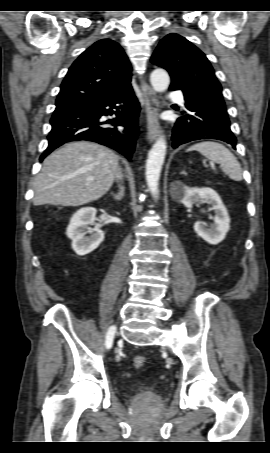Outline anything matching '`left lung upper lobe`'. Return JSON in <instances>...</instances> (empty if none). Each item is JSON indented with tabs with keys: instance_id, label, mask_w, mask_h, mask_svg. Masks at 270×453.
Masks as SVG:
<instances>
[{
	"instance_id": "obj_1",
	"label": "left lung upper lobe",
	"mask_w": 270,
	"mask_h": 453,
	"mask_svg": "<svg viewBox=\"0 0 270 453\" xmlns=\"http://www.w3.org/2000/svg\"><path fill=\"white\" fill-rule=\"evenodd\" d=\"M151 61L169 72L170 87L181 89L186 100L228 117L222 88L211 64L186 38L175 33L165 36Z\"/></svg>"
}]
</instances>
